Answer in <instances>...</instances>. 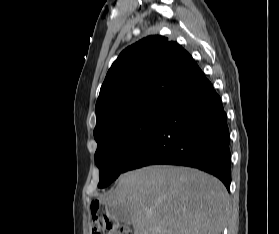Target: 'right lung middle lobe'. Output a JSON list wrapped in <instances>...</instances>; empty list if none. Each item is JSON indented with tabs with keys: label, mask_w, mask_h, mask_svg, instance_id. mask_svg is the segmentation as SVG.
<instances>
[{
	"label": "right lung middle lobe",
	"mask_w": 279,
	"mask_h": 234,
	"mask_svg": "<svg viewBox=\"0 0 279 234\" xmlns=\"http://www.w3.org/2000/svg\"><path fill=\"white\" fill-rule=\"evenodd\" d=\"M166 107L148 106L123 113L106 123L94 135L95 162L100 170L99 188L112 183L155 127Z\"/></svg>",
	"instance_id": "dd1d6c3e"
}]
</instances>
